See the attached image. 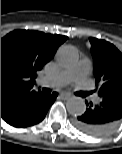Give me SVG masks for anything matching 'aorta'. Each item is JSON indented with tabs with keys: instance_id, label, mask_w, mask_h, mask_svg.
<instances>
[{
	"instance_id": "762f6f07",
	"label": "aorta",
	"mask_w": 122,
	"mask_h": 154,
	"mask_svg": "<svg viewBox=\"0 0 122 154\" xmlns=\"http://www.w3.org/2000/svg\"><path fill=\"white\" fill-rule=\"evenodd\" d=\"M78 58L77 49L70 45L61 46L56 54L58 64L66 68L74 66ZM66 108L71 115H81L86 110V104L80 97H71L67 100Z\"/></svg>"
}]
</instances>
